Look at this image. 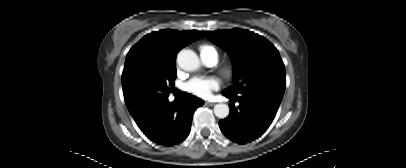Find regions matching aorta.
Here are the masks:
<instances>
[{"label":"aorta","mask_w":406,"mask_h":168,"mask_svg":"<svg viewBox=\"0 0 406 168\" xmlns=\"http://www.w3.org/2000/svg\"><path fill=\"white\" fill-rule=\"evenodd\" d=\"M178 65L186 71H195L200 67V60L197 54L190 49L181 50L177 55ZM214 114L220 119H224L229 115V107L226 104H216L214 106Z\"/></svg>","instance_id":"762f6f07"}]
</instances>
